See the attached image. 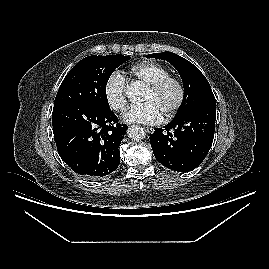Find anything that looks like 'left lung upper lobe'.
<instances>
[{
    "label": "left lung upper lobe",
    "mask_w": 269,
    "mask_h": 269,
    "mask_svg": "<svg viewBox=\"0 0 269 269\" xmlns=\"http://www.w3.org/2000/svg\"><path fill=\"white\" fill-rule=\"evenodd\" d=\"M147 57L168 61L177 69L182 78L184 99L175 119L182 117L201 103L215 102L214 94L205 76L185 58L172 52L154 53Z\"/></svg>",
    "instance_id": "1"
}]
</instances>
